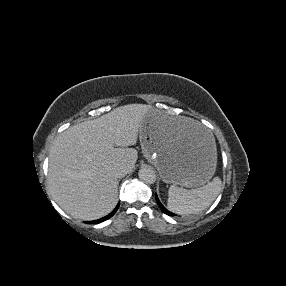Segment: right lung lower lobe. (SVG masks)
<instances>
[{
	"mask_svg": "<svg viewBox=\"0 0 286 286\" xmlns=\"http://www.w3.org/2000/svg\"><path fill=\"white\" fill-rule=\"evenodd\" d=\"M118 207H119V204L116 206V208L109 215H107V216H105V217H103L101 219H98V220H95V221H90V222H87V223H89V224H97V223L103 222V221L111 218L115 214V212L117 211Z\"/></svg>",
	"mask_w": 286,
	"mask_h": 286,
	"instance_id": "1",
	"label": "right lung lower lobe"
}]
</instances>
